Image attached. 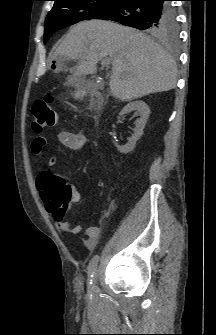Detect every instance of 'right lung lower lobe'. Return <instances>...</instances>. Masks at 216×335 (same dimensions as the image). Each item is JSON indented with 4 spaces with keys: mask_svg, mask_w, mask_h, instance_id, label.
I'll list each match as a JSON object with an SVG mask.
<instances>
[{
    "mask_svg": "<svg viewBox=\"0 0 216 335\" xmlns=\"http://www.w3.org/2000/svg\"><path fill=\"white\" fill-rule=\"evenodd\" d=\"M167 0H117L95 19L119 22L150 33H159L175 25V13Z\"/></svg>",
    "mask_w": 216,
    "mask_h": 335,
    "instance_id": "obj_1",
    "label": "right lung lower lobe"
}]
</instances>
